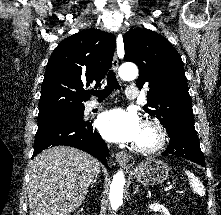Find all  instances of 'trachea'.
I'll use <instances>...</instances> for the list:
<instances>
[{"mask_svg":"<svg viewBox=\"0 0 221 215\" xmlns=\"http://www.w3.org/2000/svg\"><path fill=\"white\" fill-rule=\"evenodd\" d=\"M107 81H108V86L105 89L91 91V94L98 97L99 100H104L112 93L114 89L120 90L121 87L117 81L116 75L113 70H110L108 72Z\"/></svg>","mask_w":221,"mask_h":215,"instance_id":"1","label":"trachea"}]
</instances>
